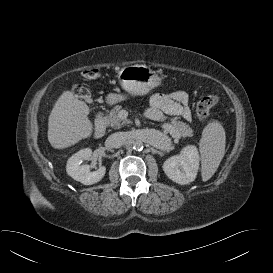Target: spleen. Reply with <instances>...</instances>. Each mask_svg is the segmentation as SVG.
<instances>
[{
  "mask_svg": "<svg viewBox=\"0 0 273 273\" xmlns=\"http://www.w3.org/2000/svg\"><path fill=\"white\" fill-rule=\"evenodd\" d=\"M226 135L220 122H209L202 132L199 142L201 154V175L205 182L216 172L225 154Z\"/></svg>",
  "mask_w": 273,
  "mask_h": 273,
  "instance_id": "obj_1",
  "label": "spleen"
}]
</instances>
